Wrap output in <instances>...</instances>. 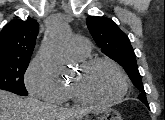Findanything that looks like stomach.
Instances as JSON below:
<instances>
[{
	"label": "stomach",
	"mask_w": 165,
	"mask_h": 120,
	"mask_svg": "<svg viewBox=\"0 0 165 120\" xmlns=\"http://www.w3.org/2000/svg\"><path fill=\"white\" fill-rule=\"evenodd\" d=\"M122 120L118 111L112 108L92 109L85 114L82 120Z\"/></svg>",
	"instance_id": "stomach-1"
}]
</instances>
